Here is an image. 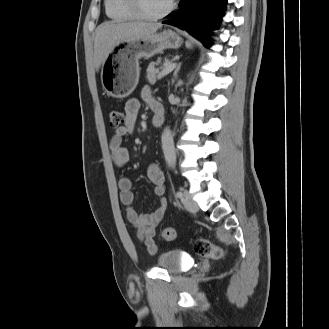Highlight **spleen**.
<instances>
[{
    "instance_id": "obj_1",
    "label": "spleen",
    "mask_w": 329,
    "mask_h": 329,
    "mask_svg": "<svg viewBox=\"0 0 329 329\" xmlns=\"http://www.w3.org/2000/svg\"><path fill=\"white\" fill-rule=\"evenodd\" d=\"M187 47H191V44L190 43H187Z\"/></svg>"
}]
</instances>
